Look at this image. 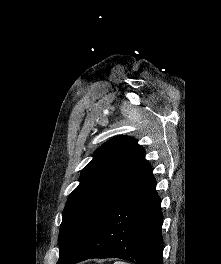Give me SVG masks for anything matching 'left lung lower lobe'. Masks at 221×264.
Returning a JSON list of instances; mask_svg holds the SVG:
<instances>
[{"mask_svg": "<svg viewBox=\"0 0 221 264\" xmlns=\"http://www.w3.org/2000/svg\"><path fill=\"white\" fill-rule=\"evenodd\" d=\"M155 186L151 173L57 264L114 257L135 264H163V215Z\"/></svg>", "mask_w": 221, "mask_h": 264, "instance_id": "0a47b994", "label": "left lung lower lobe"}]
</instances>
